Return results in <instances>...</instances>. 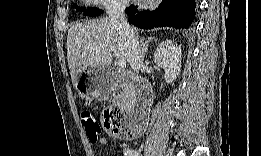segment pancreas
Segmentation results:
<instances>
[{
    "instance_id": "1",
    "label": "pancreas",
    "mask_w": 261,
    "mask_h": 156,
    "mask_svg": "<svg viewBox=\"0 0 261 156\" xmlns=\"http://www.w3.org/2000/svg\"><path fill=\"white\" fill-rule=\"evenodd\" d=\"M132 99V91L128 83L121 85L120 94L117 96V100L124 104H130Z\"/></svg>"
}]
</instances>
